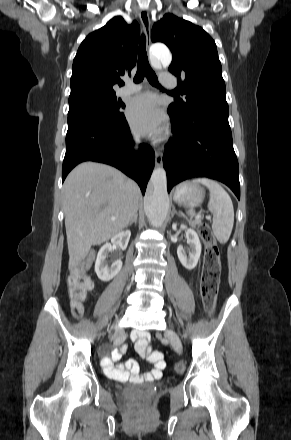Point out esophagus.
<instances>
[{
    "label": "esophagus",
    "instance_id": "obj_1",
    "mask_svg": "<svg viewBox=\"0 0 291 440\" xmlns=\"http://www.w3.org/2000/svg\"><path fill=\"white\" fill-rule=\"evenodd\" d=\"M140 21L142 28L145 33L147 44L150 41V28H151V22H150V15L147 9H141L140 10ZM162 152L156 151L155 152V166L159 167L162 164Z\"/></svg>",
    "mask_w": 291,
    "mask_h": 440
}]
</instances>
